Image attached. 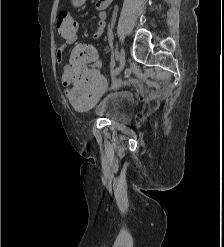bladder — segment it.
I'll return each instance as SVG.
<instances>
[{
  "instance_id": "1",
  "label": "bladder",
  "mask_w": 224,
  "mask_h": 247,
  "mask_svg": "<svg viewBox=\"0 0 224 247\" xmlns=\"http://www.w3.org/2000/svg\"><path fill=\"white\" fill-rule=\"evenodd\" d=\"M98 118L128 124L135 117V98L131 91L113 89L108 91L92 110Z\"/></svg>"
}]
</instances>
